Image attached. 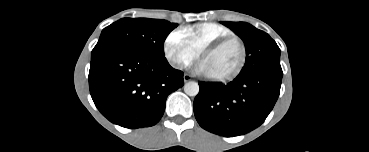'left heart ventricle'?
<instances>
[{
	"label": "left heart ventricle",
	"instance_id": "b2bd125f",
	"mask_svg": "<svg viewBox=\"0 0 369 152\" xmlns=\"http://www.w3.org/2000/svg\"><path fill=\"white\" fill-rule=\"evenodd\" d=\"M241 57L239 46L230 42L221 48L206 53L201 62L205 65L208 76H222L233 71Z\"/></svg>",
	"mask_w": 369,
	"mask_h": 152
}]
</instances>
